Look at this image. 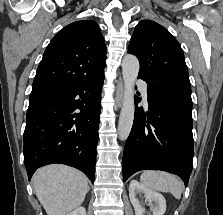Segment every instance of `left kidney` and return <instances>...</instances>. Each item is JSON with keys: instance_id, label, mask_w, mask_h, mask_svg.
I'll list each match as a JSON object with an SVG mask.
<instances>
[{"instance_id": "left-kidney-1", "label": "left kidney", "mask_w": 223, "mask_h": 215, "mask_svg": "<svg viewBox=\"0 0 223 215\" xmlns=\"http://www.w3.org/2000/svg\"><path fill=\"white\" fill-rule=\"evenodd\" d=\"M136 193H145L147 201L151 203L153 215H163L166 211V199L159 191L148 189L136 179H132L129 185V197L132 205L135 207V215H143L144 207H141L139 199H136ZM153 201V203H152Z\"/></svg>"}]
</instances>
